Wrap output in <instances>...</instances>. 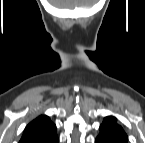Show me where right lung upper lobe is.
Returning a JSON list of instances; mask_svg holds the SVG:
<instances>
[{
  "label": "right lung upper lobe",
  "instance_id": "obj_1",
  "mask_svg": "<svg viewBox=\"0 0 145 143\" xmlns=\"http://www.w3.org/2000/svg\"><path fill=\"white\" fill-rule=\"evenodd\" d=\"M56 126L47 116H39L25 128L20 143H57Z\"/></svg>",
  "mask_w": 145,
  "mask_h": 143
}]
</instances>
